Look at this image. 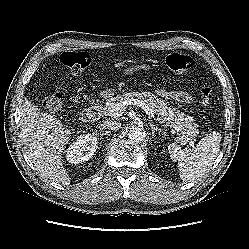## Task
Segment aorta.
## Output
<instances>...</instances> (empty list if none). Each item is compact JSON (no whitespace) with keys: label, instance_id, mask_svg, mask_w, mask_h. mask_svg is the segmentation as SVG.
Returning a JSON list of instances; mask_svg holds the SVG:
<instances>
[{"label":"aorta","instance_id":"aorta-1","mask_svg":"<svg viewBox=\"0 0 249 249\" xmlns=\"http://www.w3.org/2000/svg\"><path fill=\"white\" fill-rule=\"evenodd\" d=\"M145 135H146L145 130L142 127L137 126L130 129L128 133V138L132 142H141L144 140Z\"/></svg>","mask_w":249,"mask_h":249}]
</instances>
